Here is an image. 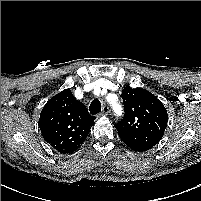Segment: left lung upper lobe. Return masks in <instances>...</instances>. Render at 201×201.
<instances>
[{
    "instance_id": "5c2ea615",
    "label": "left lung upper lobe",
    "mask_w": 201,
    "mask_h": 201,
    "mask_svg": "<svg viewBox=\"0 0 201 201\" xmlns=\"http://www.w3.org/2000/svg\"><path fill=\"white\" fill-rule=\"evenodd\" d=\"M124 118L115 124L121 140L135 151H147L163 137L168 114L152 93L127 87L122 91Z\"/></svg>"
}]
</instances>
